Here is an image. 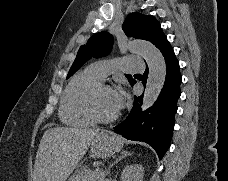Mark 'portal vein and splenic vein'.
I'll list each match as a JSON object with an SVG mask.
<instances>
[{"label":"portal vein and splenic vein","instance_id":"obj_1","mask_svg":"<svg viewBox=\"0 0 228 181\" xmlns=\"http://www.w3.org/2000/svg\"><path fill=\"white\" fill-rule=\"evenodd\" d=\"M105 170H106L105 168H104V169H100V170H99V173H100V174H103V173L105 172Z\"/></svg>","mask_w":228,"mask_h":181}]
</instances>
